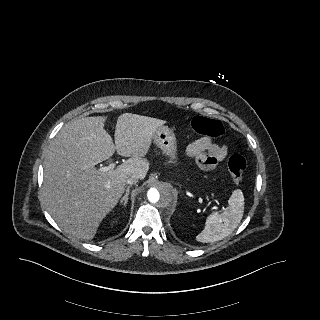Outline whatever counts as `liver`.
Instances as JSON below:
<instances>
[{"mask_svg":"<svg viewBox=\"0 0 320 320\" xmlns=\"http://www.w3.org/2000/svg\"><path fill=\"white\" fill-rule=\"evenodd\" d=\"M107 116L84 117L65 124L50 144L44 160L42 196L58 226L76 238H94L101 221L117 205L132 174L144 179L145 159L156 129L164 120L132 113L116 123L115 144L105 130ZM115 150L130 157L116 169L100 172L95 165Z\"/></svg>","mask_w":320,"mask_h":320,"instance_id":"liver-1","label":"liver"}]
</instances>
